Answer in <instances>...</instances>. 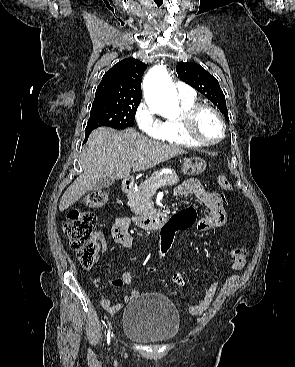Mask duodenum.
<instances>
[{
	"instance_id": "obj_1",
	"label": "duodenum",
	"mask_w": 295,
	"mask_h": 367,
	"mask_svg": "<svg viewBox=\"0 0 295 367\" xmlns=\"http://www.w3.org/2000/svg\"><path fill=\"white\" fill-rule=\"evenodd\" d=\"M134 187V179L132 177H127L122 182V190L125 193L132 191ZM170 218L169 210H160L147 215H139L133 217V222L140 228L152 229L159 228L161 224H165L167 219Z\"/></svg>"
}]
</instances>
